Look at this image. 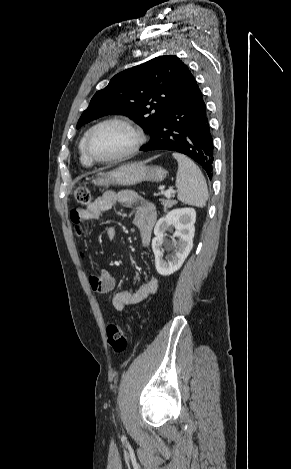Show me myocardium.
Segmentation results:
<instances>
[{
    "label": "myocardium",
    "mask_w": 291,
    "mask_h": 469,
    "mask_svg": "<svg viewBox=\"0 0 291 469\" xmlns=\"http://www.w3.org/2000/svg\"><path fill=\"white\" fill-rule=\"evenodd\" d=\"M111 123H118L126 126L134 135V142L130 146L129 149L126 151L110 157V158H97L95 157L89 148V143H90V138L93 134V132L98 129L99 127L106 125V124H111ZM146 141V136L144 131L140 126H138L135 122H133L131 119L123 117V116H114L110 117L107 119H104L94 126H92L86 133L85 138H84V144H83V149L86 157L92 162V163H99V164H107V163H113L117 161L124 160L133 154H135L145 143Z\"/></svg>",
    "instance_id": "obj_1"
}]
</instances>
